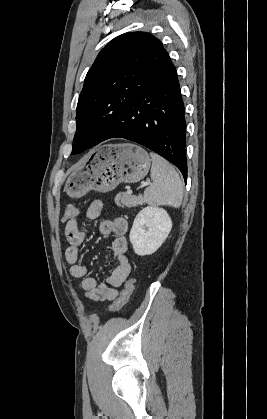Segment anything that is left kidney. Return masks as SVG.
<instances>
[{
  "label": "left kidney",
  "instance_id": "5707ae66",
  "mask_svg": "<svg viewBox=\"0 0 267 419\" xmlns=\"http://www.w3.org/2000/svg\"><path fill=\"white\" fill-rule=\"evenodd\" d=\"M172 221L167 211L156 206L144 207L135 217L130 242L137 255H151L167 239Z\"/></svg>",
  "mask_w": 267,
  "mask_h": 419
}]
</instances>
